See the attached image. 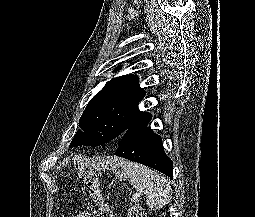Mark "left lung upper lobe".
Returning <instances> with one entry per match:
<instances>
[{"instance_id": "5c2ea615", "label": "left lung upper lobe", "mask_w": 255, "mask_h": 217, "mask_svg": "<svg viewBox=\"0 0 255 217\" xmlns=\"http://www.w3.org/2000/svg\"><path fill=\"white\" fill-rule=\"evenodd\" d=\"M145 91L136 75L120 76L107 82L88 103L70 147L99 146L121 140L126 130L145 112L138 109Z\"/></svg>"}]
</instances>
